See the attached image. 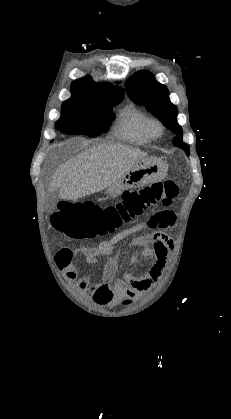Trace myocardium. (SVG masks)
Returning a JSON list of instances; mask_svg holds the SVG:
<instances>
[{
    "mask_svg": "<svg viewBox=\"0 0 231 419\" xmlns=\"http://www.w3.org/2000/svg\"><path fill=\"white\" fill-rule=\"evenodd\" d=\"M148 127L152 136H159L163 132V125L158 119H151Z\"/></svg>",
    "mask_w": 231,
    "mask_h": 419,
    "instance_id": "myocardium-1",
    "label": "myocardium"
}]
</instances>
